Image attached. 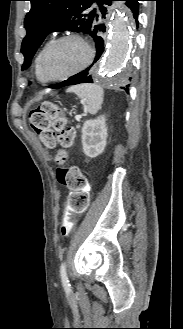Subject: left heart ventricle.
<instances>
[{
  "mask_svg": "<svg viewBox=\"0 0 183 329\" xmlns=\"http://www.w3.org/2000/svg\"><path fill=\"white\" fill-rule=\"evenodd\" d=\"M85 45L76 39H68L55 45L48 53L45 70L48 76L57 77L76 70L87 58Z\"/></svg>",
  "mask_w": 183,
  "mask_h": 329,
  "instance_id": "b2bd125f",
  "label": "left heart ventricle"
}]
</instances>
